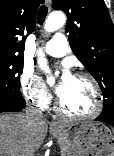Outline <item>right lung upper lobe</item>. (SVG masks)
Masks as SVG:
<instances>
[{"label":"right lung upper lobe","mask_w":114,"mask_h":156,"mask_svg":"<svg viewBox=\"0 0 114 156\" xmlns=\"http://www.w3.org/2000/svg\"><path fill=\"white\" fill-rule=\"evenodd\" d=\"M44 0H0V56L23 57L25 36L36 26Z\"/></svg>","instance_id":"obj_1"}]
</instances>
